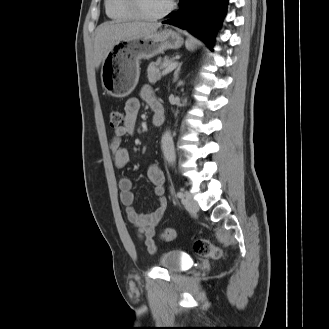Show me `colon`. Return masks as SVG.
<instances>
[{"mask_svg":"<svg viewBox=\"0 0 329 329\" xmlns=\"http://www.w3.org/2000/svg\"><path fill=\"white\" fill-rule=\"evenodd\" d=\"M125 117L121 110L113 109L110 111V125L114 128L121 127L124 124ZM161 238L164 241H172L175 238V229L166 227L161 232ZM194 252L200 257H209L220 259L222 251L215 247L207 238H197L193 242Z\"/></svg>","mask_w":329,"mask_h":329,"instance_id":"colon-1","label":"colon"}]
</instances>
